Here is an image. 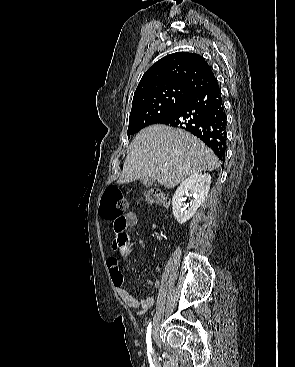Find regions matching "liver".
<instances>
[{"label": "liver", "mask_w": 295, "mask_h": 367, "mask_svg": "<svg viewBox=\"0 0 295 367\" xmlns=\"http://www.w3.org/2000/svg\"><path fill=\"white\" fill-rule=\"evenodd\" d=\"M219 165L214 152L192 134L151 125L132 141L118 183L149 178L170 189L190 175L215 170Z\"/></svg>", "instance_id": "1"}]
</instances>
